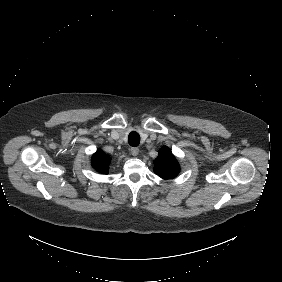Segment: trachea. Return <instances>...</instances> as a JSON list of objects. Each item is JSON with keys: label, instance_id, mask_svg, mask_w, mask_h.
I'll list each match as a JSON object with an SVG mask.
<instances>
[{"label": "trachea", "instance_id": "3493384b", "mask_svg": "<svg viewBox=\"0 0 282 282\" xmlns=\"http://www.w3.org/2000/svg\"><path fill=\"white\" fill-rule=\"evenodd\" d=\"M128 143L132 147H137L140 143V135L135 131L130 132L128 135Z\"/></svg>", "mask_w": 282, "mask_h": 282}]
</instances>
